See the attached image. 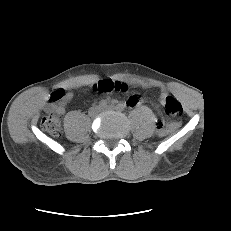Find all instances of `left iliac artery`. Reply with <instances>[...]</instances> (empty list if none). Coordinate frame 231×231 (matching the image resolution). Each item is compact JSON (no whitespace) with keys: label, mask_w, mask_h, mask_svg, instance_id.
Here are the masks:
<instances>
[{"label":"left iliac artery","mask_w":231,"mask_h":231,"mask_svg":"<svg viewBox=\"0 0 231 231\" xmlns=\"http://www.w3.org/2000/svg\"><path fill=\"white\" fill-rule=\"evenodd\" d=\"M125 105L123 104V103H118L117 105H116V108L118 109V110H120V111H123L124 109H125Z\"/></svg>","instance_id":"1"}]
</instances>
